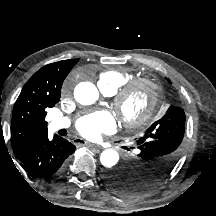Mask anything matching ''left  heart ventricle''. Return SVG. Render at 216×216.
I'll use <instances>...</instances> for the list:
<instances>
[{"instance_id": "left-heart-ventricle-1", "label": "left heart ventricle", "mask_w": 216, "mask_h": 216, "mask_svg": "<svg viewBox=\"0 0 216 216\" xmlns=\"http://www.w3.org/2000/svg\"><path fill=\"white\" fill-rule=\"evenodd\" d=\"M148 99V92L145 88H140L132 92L126 99L124 110L127 114L136 115L145 106Z\"/></svg>"}]
</instances>
